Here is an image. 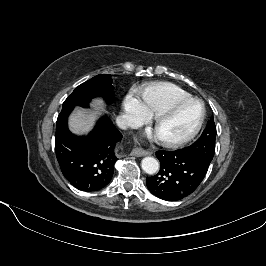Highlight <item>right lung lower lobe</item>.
I'll return each instance as SVG.
<instances>
[{
  "mask_svg": "<svg viewBox=\"0 0 266 266\" xmlns=\"http://www.w3.org/2000/svg\"><path fill=\"white\" fill-rule=\"evenodd\" d=\"M73 108H63L57 118L55 152L64 177L77 189L91 192L112 179L118 160L115 149L122 138L112 121L102 117L87 136L72 134L67 125Z\"/></svg>",
  "mask_w": 266,
  "mask_h": 266,
  "instance_id": "obj_1",
  "label": "right lung lower lobe"
}]
</instances>
